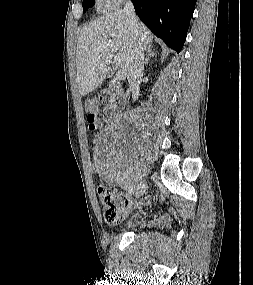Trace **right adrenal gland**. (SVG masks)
Instances as JSON below:
<instances>
[{
	"mask_svg": "<svg viewBox=\"0 0 253 285\" xmlns=\"http://www.w3.org/2000/svg\"><path fill=\"white\" fill-rule=\"evenodd\" d=\"M146 51H147V54H146V57H145L144 65H147V64H148V62H149V57H153V56L156 55V53H154V52L152 51L151 46H148L147 49H146Z\"/></svg>",
	"mask_w": 253,
	"mask_h": 285,
	"instance_id": "obj_1",
	"label": "right adrenal gland"
}]
</instances>
